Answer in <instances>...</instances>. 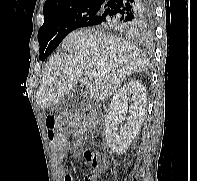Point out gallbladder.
Wrapping results in <instances>:
<instances>
[{
	"label": "gallbladder",
	"instance_id": "gallbladder-1",
	"mask_svg": "<svg viewBox=\"0 0 197 181\" xmlns=\"http://www.w3.org/2000/svg\"><path fill=\"white\" fill-rule=\"evenodd\" d=\"M71 95L68 93V94H66L65 96H63V98H65V97H70Z\"/></svg>",
	"mask_w": 197,
	"mask_h": 181
}]
</instances>
